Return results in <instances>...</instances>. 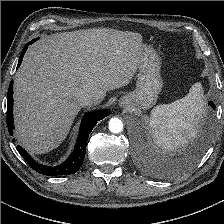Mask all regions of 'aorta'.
Listing matches in <instances>:
<instances>
[{
  "label": "aorta",
  "instance_id": "obj_1",
  "mask_svg": "<svg viewBox=\"0 0 224 224\" xmlns=\"http://www.w3.org/2000/svg\"><path fill=\"white\" fill-rule=\"evenodd\" d=\"M109 130L112 133H120L123 130V123L118 118H111L109 121Z\"/></svg>",
  "mask_w": 224,
  "mask_h": 224
}]
</instances>
